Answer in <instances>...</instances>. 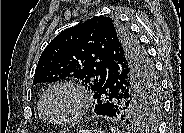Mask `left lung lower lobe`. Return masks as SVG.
<instances>
[{
  "label": "left lung lower lobe",
  "instance_id": "obj_1",
  "mask_svg": "<svg viewBox=\"0 0 184 133\" xmlns=\"http://www.w3.org/2000/svg\"><path fill=\"white\" fill-rule=\"evenodd\" d=\"M106 77L102 88L93 95L94 99H96L94 112L97 115L117 118L120 110V101L127 93L128 81L126 72L122 70V66L118 64L116 58L115 60L111 59L107 64ZM142 87L149 94L153 91L152 86L147 81L142 82Z\"/></svg>",
  "mask_w": 184,
  "mask_h": 133
}]
</instances>
